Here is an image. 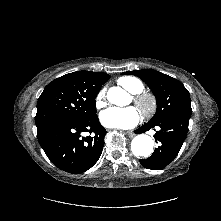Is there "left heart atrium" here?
Instances as JSON below:
<instances>
[{
  "label": "left heart atrium",
  "mask_w": 221,
  "mask_h": 221,
  "mask_svg": "<svg viewBox=\"0 0 221 221\" xmlns=\"http://www.w3.org/2000/svg\"><path fill=\"white\" fill-rule=\"evenodd\" d=\"M141 114L135 107H111L100 114V122L106 128L128 129L138 124Z\"/></svg>",
  "instance_id": "39dd6f15"
}]
</instances>
